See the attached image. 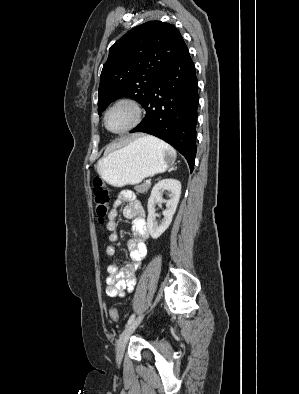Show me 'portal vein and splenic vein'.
Masks as SVG:
<instances>
[{
  "label": "portal vein and splenic vein",
  "mask_w": 299,
  "mask_h": 394,
  "mask_svg": "<svg viewBox=\"0 0 299 394\" xmlns=\"http://www.w3.org/2000/svg\"><path fill=\"white\" fill-rule=\"evenodd\" d=\"M146 184H151V180L150 179L146 180Z\"/></svg>",
  "instance_id": "obj_1"
}]
</instances>
